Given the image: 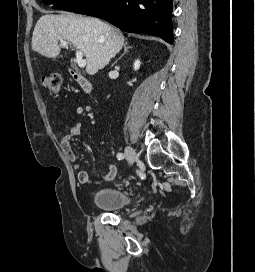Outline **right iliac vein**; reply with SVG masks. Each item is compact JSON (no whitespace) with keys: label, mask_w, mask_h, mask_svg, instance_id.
<instances>
[{"label":"right iliac vein","mask_w":255,"mask_h":272,"mask_svg":"<svg viewBox=\"0 0 255 272\" xmlns=\"http://www.w3.org/2000/svg\"><path fill=\"white\" fill-rule=\"evenodd\" d=\"M125 155L130 165L133 164L138 159L135 150L130 146H127L125 148Z\"/></svg>","instance_id":"1"}]
</instances>
